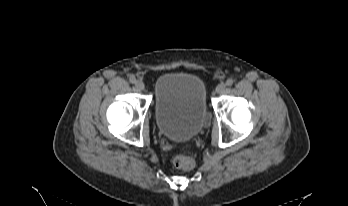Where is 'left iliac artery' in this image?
<instances>
[{"mask_svg": "<svg viewBox=\"0 0 348 206\" xmlns=\"http://www.w3.org/2000/svg\"><path fill=\"white\" fill-rule=\"evenodd\" d=\"M233 82H234L233 79H232V78H229V79H227V81H226V85L230 87V86L233 85Z\"/></svg>", "mask_w": 348, "mask_h": 206, "instance_id": "44dca946", "label": "left iliac artery"}]
</instances>
